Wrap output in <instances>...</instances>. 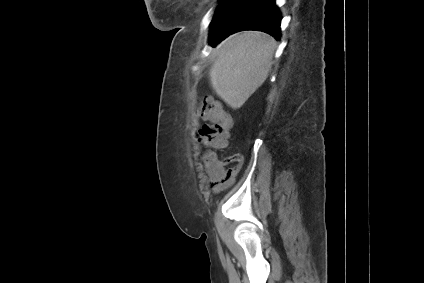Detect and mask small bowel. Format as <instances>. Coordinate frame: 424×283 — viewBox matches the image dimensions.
Masks as SVG:
<instances>
[{
	"label": "small bowel",
	"mask_w": 424,
	"mask_h": 283,
	"mask_svg": "<svg viewBox=\"0 0 424 283\" xmlns=\"http://www.w3.org/2000/svg\"><path fill=\"white\" fill-rule=\"evenodd\" d=\"M232 164V166H229ZM243 165V156L235 154L225 158L215 155L213 164H206L208 184L214 193H219L230 187Z\"/></svg>",
	"instance_id": "c3829d8e"
}]
</instances>
